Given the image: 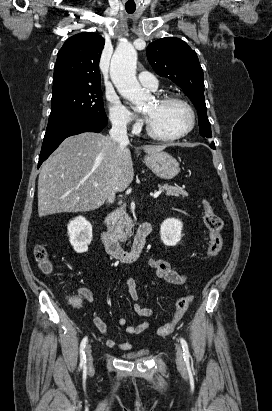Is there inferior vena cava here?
<instances>
[{"label": "inferior vena cava", "instance_id": "obj_1", "mask_svg": "<svg viewBox=\"0 0 272 411\" xmlns=\"http://www.w3.org/2000/svg\"><path fill=\"white\" fill-rule=\"evenodd\" d=\"M110 138L116 144H118L119 148H122L129 144V139L127 136V126L126 121L122 119H114L112 120V128L109 131ZM115 197V192L111 189L109 192L108 200L112 201Z\"/></svg>", "mask_w": 272, "mask_h": 411}]
</instances>
